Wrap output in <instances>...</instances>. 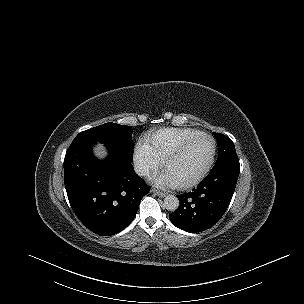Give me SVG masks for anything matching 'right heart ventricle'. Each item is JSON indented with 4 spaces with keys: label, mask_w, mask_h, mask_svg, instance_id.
<instances>
[{
    "label": "right heart ventricle",
    "mask_w": 304,
    "mask_h": 304,
    "mask_svg": "<svg viewBox=\"0 0 304 304\" xmlns=\"http://www.w3.org/2000/svg\"><path fill=\"white\" fill-rule=\"evenodd\" d=\"M201 134L193 128L164 127L151 132L147 144L160 159L167 157L187 140Z\"/></svg>",
    "instance_id": "e07e8e85"
}]
</instances>
